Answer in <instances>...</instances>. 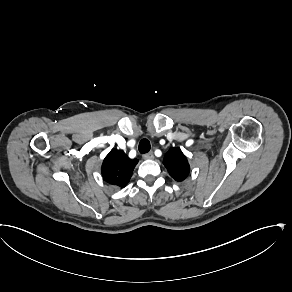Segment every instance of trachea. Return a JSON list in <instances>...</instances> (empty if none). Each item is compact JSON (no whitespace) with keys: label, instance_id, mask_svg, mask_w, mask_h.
<instances>
[{"label":"trachea","instance_id":"3493384b","mask_svg":"<svg viewBox=\"0 0 292 292\" xmlns=\"http://www.w3.org/2000/svg\"><path fill=\"white\" fill-rule=\"evenodd\" d=\"M138 149L141 154L148 153L151 149L149 140L146 138L142 139L139 143Z\"/></svg>","mask_w":292,"mask_h":292}]
</instances>
